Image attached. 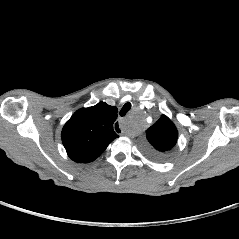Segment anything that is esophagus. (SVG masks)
I'll return each instance as SVG.
<instances>
[{"instance_id":"34e87169","label":"esophagus","mask_w":239,"mask_h":239,"mask_svg":"<svg viewBox=\"0 0 239 239\" xmlns=\"http://www.w3.org/2000/svg\"><path fill=\"white\" fill-rule=\"evenodd\" d=\"M113 130L118 133V134H122L123 133V129L120 127V123L119 122H115L113 124Z\"/></svg>"}]
</instances>
